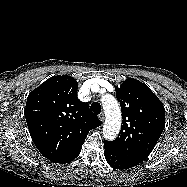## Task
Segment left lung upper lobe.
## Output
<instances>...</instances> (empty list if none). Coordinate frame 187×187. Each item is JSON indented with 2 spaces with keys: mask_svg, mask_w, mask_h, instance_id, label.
<instances>
[{
  "mask_svg": "<svg viewBox=\"0 0 187 187\" xmlns=\"http://www.w3.org/2000/svg\"><path fill=\"white\" fill-rule=\"evenodd\" d=\"M122 109L119 136L106 141L122 155L142 162L154 149L165 127V109L159 98L144 83L126 79L116 88Z\"/></svg>",
  "mask_w": 187,
  "mask_h": 187,
  "instance_id": "obj_1",
  "label": "left lung upper lobe"
}]
</instances>
